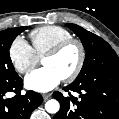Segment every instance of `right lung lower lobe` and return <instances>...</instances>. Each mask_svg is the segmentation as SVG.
I'll return each instance as SVG.
<instances>
[{
	"instance_id": "obj_1",
	"label": "right lung lower lobe",
	"mask_w": 119,
	"mask_h": 119,
	"mask_svg": "<svg viewBox=\"0 0 119 119\" xmlns=\"http://www.w3.org/2000/svg\"><path fill=\"white\" fill-rule=\"evenodd\" d=\"M22 87L23 80L18 75L0 78V119H29L32 111L42 103L41 94L34 91L21 95ZM8 92L16 95L5 99Z\"/></svg>"
}]
</instances>
